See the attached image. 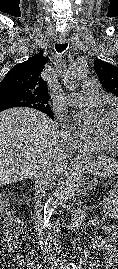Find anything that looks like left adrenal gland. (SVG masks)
Masks as SVG:
<instances>
[{"mask_svg":"<svg viewBox=\"0 0 118 269\" xmlns=\"http://www.w3.org/2000/svg\"><path fill=\"white\" fill-rule=\"evenodd\" d=\"M93 187H94V182H93V183H91V184L88 186V189H89V190H92V189H93Z\"/></svg>","mask_w":118,"mask_h":269,"instance_id":"obj_1","label":"left adrenal gland"}]
</instances>
